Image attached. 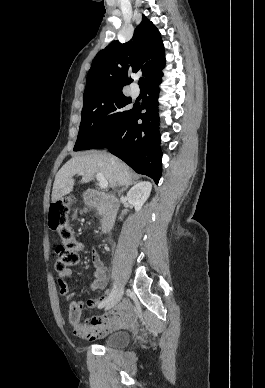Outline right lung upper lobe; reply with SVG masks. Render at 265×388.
Segmentation results:
<instances>
[{
    "instance_id": "cb5924a9",
    "label": "right lung upper lobe",
    "mask_w": 265,
    "mask_h": 388,
    "mask_svg": "<svg viewBox=\"0 0 265 388\" xmlns=\"http://www.w3.org/2000/svg\"><path fill=\"white\" fill-rule=\"evenodd\" d=\"M165 66L161 35L144 15L130 41L111 42L94 58L89 70L84 98L104 90H122L131 82L128 73L141 70L147 83L160 76Z\"/></svg>"
}]
</instances>
